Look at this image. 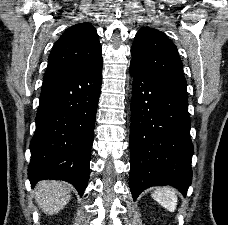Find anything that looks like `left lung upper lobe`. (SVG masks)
<instances>
[{"mask_svg":"<svg viewBox=\"0 0 228 225\" xmlns=\"http://www.w3.org/2000/svg\"><path fill=\"white\" fill-rule=\"evenodd\" d=\"M131 53V63L147 74L186 83L177 48L163 32L141 28L135 36Z\"/></svg>","mask_w":228,"mask_h":225,"instance_id":"left-lung-upper-lobe-1","label":"left lung upper lobe"}]
</instances>
